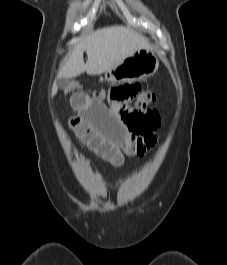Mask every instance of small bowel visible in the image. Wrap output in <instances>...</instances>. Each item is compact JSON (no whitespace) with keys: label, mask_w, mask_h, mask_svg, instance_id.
Returning <instances> with one entry per match:
<instances>
[{"label":"small bowel","mask_w":227,"mask_h":265,"mask_svg":"<svg viewBox=\"0 0 227 265\" xmlns=\"http://www.w3.org/2000/svg\"><path fill=\"white\" fill-rule=\"evenodd\" d=\"M70 101L76 111L70 120L72 131L91 151L114 166H121L125 156H144L158 141L154 131L133 134L110 113L101 98L85 99V91H74Z\"/></svg>","instance_id":"small-bowel-1"}]
</instances>
